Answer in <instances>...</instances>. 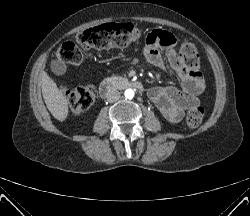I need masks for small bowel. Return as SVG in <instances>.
Here are the masks:
<instances>
[{"label":"small bowel","instance_id":"1","mask_svg":"<svg viewBox=\"0 0 250 216\" xmlns=\"http://www.w3.org/2000/svg\"><path fill=\"white\" fill-rule=\"evenodd\" d=\"M175 37L163 30L147 34L143 39V60L159 68H170L179 77L182 90L174 85L157 86L149 90L151 101L169 122L182 120L184 112L199 105V96L204 89V80L199 72H191L182 65L175 51ZM160 48H166V56L160 54ZM138 59L133 62L136 63Z\"/></svg>","mask_w":250,"mask_h":216}]
</instances>
